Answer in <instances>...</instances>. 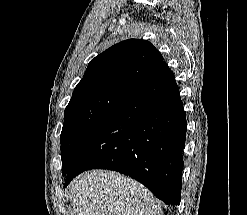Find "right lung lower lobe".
<instances>
[{
    "instance_id": "1",
    "label": "right lung lower lobe",
    "mask_w": 247,
    "mask_h": 215,
    "mask_svg": "<svg viewBox=\"0 0 247 215\" xmlns=\"http://www.w3.org/2000/svg\"><path fill=\"white\" fill-rule=\"evenodd\" d=\"M186 113L175 76L163 62L78 141L65 187L93 168L118 171L167 205H179Z\"/></svg>"
}]
</instances>
